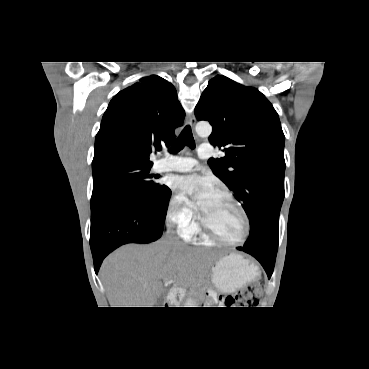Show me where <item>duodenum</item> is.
<instances>
[{
    "label": "duodenum",
    "mask_w": 369,
    "mask_h": 369,
    "mask_svg": "<svg viewBox=\"0 0 369 369\" xmlns=\"http://www.w3.org/2000/svg\"><path fill=\"white\" fill-rule=\"evenodd\" d=\"M173 298H174V294H173V292H170L169 299L172 300Z\"/></svg>",
    "instance_id": "obj_1"
}]
</instances>
